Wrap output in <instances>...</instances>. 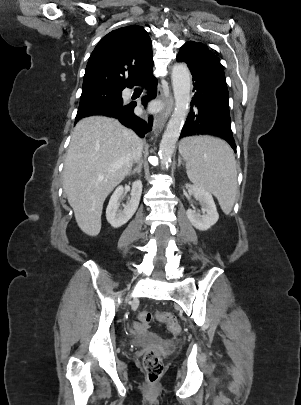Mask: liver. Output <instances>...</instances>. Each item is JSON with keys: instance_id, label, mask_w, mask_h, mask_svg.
<instances>
[{"instance_id": "liver-1", "label": "liver", "mask_w": 301, "mask_h": 405, "mask_svg": "<svg viewBox=\"0 0 301 405\" xmlns=\"http://www.w3.org/2000/svg\"><path fill=\"white\" fill-rule=\"evenodd\" d=\"M138 141L114 118L92 116L76 124L64 162L63 190L87 235L99 234L103 203L131 172Z\"/></svg>"}]
</instances>
